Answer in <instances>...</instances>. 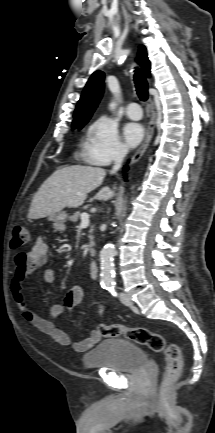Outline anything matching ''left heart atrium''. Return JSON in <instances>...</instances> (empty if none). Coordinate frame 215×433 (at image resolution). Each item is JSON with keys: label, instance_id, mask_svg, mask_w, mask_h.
<instances>
[{"label": "left heart atrium", "instance_id": "39dd6f15", "mask_svg": "<svg viewBox=\"0 0 215 433\" xmlns=\"http://www.w3.org/2000/svg\"><path fill=\"white\" fill-rule=\"evenodd\" d=\"M123 135L128 147L138 145L144 136V129L138 123H127L123 128Z\"/></svg>", "mask_w": 215, "mask_h": 433}]
</instances>
